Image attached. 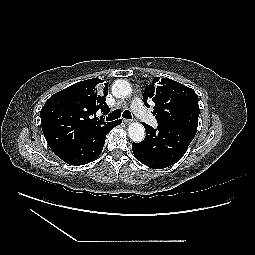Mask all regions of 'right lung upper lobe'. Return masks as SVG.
I'll return each mask as SVG.
<instances>
[{
    "mask_svg": "<svg viewBox=\"0 0 255 255\" xmlns=\"http://www.w3.org/2000/svg\"><path fill=\"white\" fill-rule=\"evenodd\" d=\"M102 82L94 78L75 83L52 95L43 106L42 130L58 157L87 132L111 123L92 118L96 113H109L105 102L108 86L105 84L100 92L97 89Z\"/></svg>",
    "mask_w": 255,
    "mask_h": 255,
    "instance_id": "right-lung-upper-lobe-1",
    "label": "right lung upper lobe"
}]
</instances>
